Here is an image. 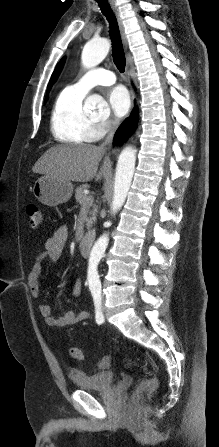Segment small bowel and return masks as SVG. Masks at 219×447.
Instances as JSON below:
<instances>
[{
    "mask_svg": "<svg viewBox=\"0 0 219 447\" xmlns=\"http://www.w3.org/2000/svg\"><path fill=\"white\" fill-rule=\"evenodd\" d=\"M68 238V231L65 226L59 227L54 234L46 241L45 249L35 256L33 265L28 275V286L33 297L38 298L41 290V275L45 262H57ZM81 293V282L76 280L72 287V294L79 296ZM40 314L46 324L53 328L72 326L79 322L88 320L91 315L88 312H74L72 310L62 311L60 315L53 316L51 307L47 304L39 306Z\"/></svg>",
    "mask_w": 219,
    "mask_h": 447,
    "instance_id": "small-bowel-1",
    "label": "small bowel"
}]
</instances>
